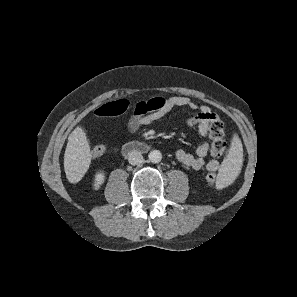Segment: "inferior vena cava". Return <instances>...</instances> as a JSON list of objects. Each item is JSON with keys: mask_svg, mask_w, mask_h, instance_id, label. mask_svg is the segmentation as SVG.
Returning a JSON list of instances; mask_svg holds the SVG:
<instances>
[{"mask_svg": "<svg viewBox=\"0 0 297 297\" xmlns=\"http://www.w3.org/2000/svg\"><path fill=\"white\" fill-rule=\"evenodd\" d=\"M142 161H143V156L139 151L133 150L128 154V162L131 165L141 164Z\"/></svg>", "mask_w": 297, "mask_h": 297, "instance_id": "1", "label": "inferior vena cava"}]
</instances>
